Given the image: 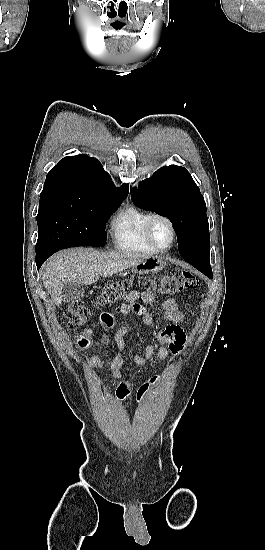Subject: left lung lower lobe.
<instances>
[{
    "label": "left lung lower lobe",
    "instance_id": "1",
    "mask_svg": "<svg viewBox=\"0 0 265 550\" xmlns=\"http://www.w3.org/2000/svg\"><path fill=\"white\" fill-rule=\"evenodd\" d=\"M186 262L190 263L192 266L208 276L210 279L213 278L212 269L210 266V257L190 258L186 260Z\"/></svg>",
    "mask_w": 265,
    "mask_h": 550
}]
</instances>
